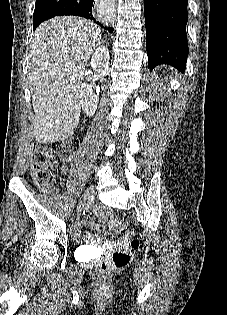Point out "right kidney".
Here are the masks:
<instances>
[{
  "label": "right kidney",
  "instance_id": "obj_1",
  "mask_svg": "<svg viewBox=\"0 0 227 315\" xmlns=\"http://www.w3.org/2000/svg\"><path fill=\"white\" fill-rule=\"evenodd\" d=\"M91 68L101 76L109 74V50L106 46H100L96 49L91 59ZM85 76L88 81H91L93 72L88 70L85 72ZM79 98L85 114L89 117L93 116L99 102V93H94L91 84L84 83L81 85Z\"/></svg>",
  "mask_w": 227,
  "mask_h": 315
}]
</instances>
